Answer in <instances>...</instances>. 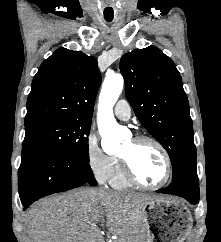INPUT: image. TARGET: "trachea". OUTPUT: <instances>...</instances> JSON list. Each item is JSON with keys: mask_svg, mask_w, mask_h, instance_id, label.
<instances>
[{"mask_svg": "<svg viewBox=\"0 0 221 242\" xmlns=\"http://www.w3.org/2000/svg\"><path fill=\"white\" fill-rule=\"evenodd\" d=\"M106 21H112V18H105Z\"/></svg>", "mask_w": 221, "mask_h": 242, "instance_id": "obj_1", "label": "trachea"}]
</instances>
